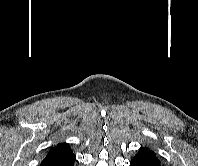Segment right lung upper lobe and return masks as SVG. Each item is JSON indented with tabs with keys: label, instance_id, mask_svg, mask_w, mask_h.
<instances>
[{
	"label": "right lung upper lobe",
	"instance_id": "cb5924a9",
	"mask_svg": "<svg viewBox=\"0 0 198 166\" xmlns=\"http://www.w3.org/2000/svg\"><path fill=\"white\" fill-rule=\"evenodd\" d=\"M71 154H73V152L69 148V145L67 143H60V144H57V146L49 150L48 154L45 157V160L56 159V158H60V157L71 155Z\"/></svg>",
	"mask_w": 198,
	"mask_h": 166
}]
</instances>
